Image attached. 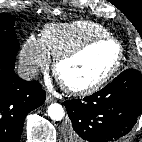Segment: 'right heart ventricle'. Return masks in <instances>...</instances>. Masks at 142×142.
<instances>
[{
	"instance_id": "1",
	"label": "right heart ventricle",
	"mask_w": 142,
	"mask_h": 142,
	"mask_svg": "<svg viewBox=\"0 0 142 142\" xmlns=\"http://www.w3.org/2000/svg\"><path fill=\"white\" fill-rule=\"evenodd\" d=\"M109 35V31L102 25L80 20L66 24H48L42 31L41 41L53 58L78 47L89 39Z\"/></svg>"
}]
</instances>
